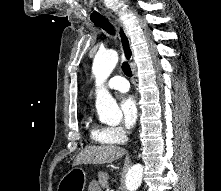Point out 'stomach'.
<instances>
[{
    "label": "stomach",
    "mask_w": 221,
    "mask_h": 191,
    "mask_svg": "<svg viewBox=\"0 0 221 191\" xmlns=\"http://www.w3.org/2000/svg\"><path fill=\"white\" fill-rule=\"evenodd\" d=\"M86 173L82 168H72L59 182L57 191H83Z\"/></svg>",
    "instance_id": "1"
}]
</instances>
